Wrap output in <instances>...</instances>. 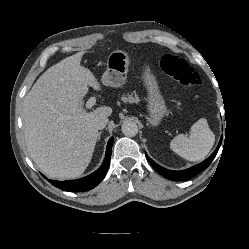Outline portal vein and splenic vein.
<instances>
[{"instance_id": "obj_1", "label": "portal vein and splenic vein", "mask_w": 249, "mask_h": 249, "mask_svg": "<svg viewBox=\"0 0 249 249\" xmlns=\"http://www.w3.org/2000/svg\"><path fill=\"white\" fill-rule=\"evenodd\" d=\"M96 102L95 97H91L87 102H86V108L90 109Z\"/></svg>"}]
</instances>
